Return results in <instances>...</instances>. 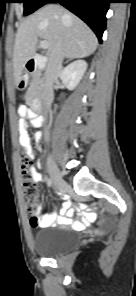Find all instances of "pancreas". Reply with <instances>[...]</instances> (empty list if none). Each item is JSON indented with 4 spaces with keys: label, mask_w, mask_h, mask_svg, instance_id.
<instances>
[{
    "label": "pancreas",
    "mask_w": 136,
    "mask_h": 296,
    "mask_svg": "<svg viewBox=\"0 0 136 296\" xmlns=\"http://www.w3.org/2000/svg\"><path fill=\"white\" fill-rule=\"evenodd\" d=\"M42 85L43 79L40 77L38 73L35 74L30 84V87L28 88V91L26 93L27 99L38 98L40 93L42 92Z\"/></svg>",
    "instance_id": "obj_1"
}]
</instances>
